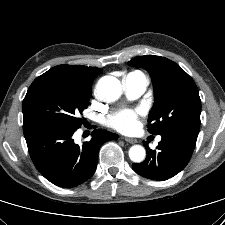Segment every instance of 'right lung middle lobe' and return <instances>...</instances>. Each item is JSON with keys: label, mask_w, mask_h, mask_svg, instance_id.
<instances>
[{"label": "right lung middle lobe", "mask_w": 225, "mask_h": 225, "mask_svg": "<svg viewBox=\"0 0 225 225\" xmlns=\"http://www.w3.org/2000/svg\"><path fill=\"white\" fill-rule=\"evenodd\" d=\"M92 82L66 74L41 75L34 80L23 100V124L49 122L78 129L77 116L88 107Z\"/></svg>", "instance_id": "dd1d6c3e"}]
</instances>
